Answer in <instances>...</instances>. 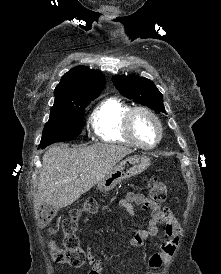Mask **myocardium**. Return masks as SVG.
<instances>
[{"label": "myocardium", "mask_w": 221, "mask_h": 274, "mask_svg": "<svg viewBox=\"0 0 221 274\" xmlns=\"http://www.w3.org/2000/svg\"><path fill=\"white\" fill-rule=\"evenodd\" d=\"M138 113H144V114L148 115L149 117H151L157 126L158 137L153 144H145V143L141 142L135 134L134 119ZM125 130H126L127 135L136 144V146L143 148V149L155 148L161 142V140L163 138V126H162V123H161L159 117L153 110H151L150 108L145 107V106H135V107H132L128 111V113L126 114V117H125Z\"/></svg>", "instance_id": "f54148a6"}]
</instances>
